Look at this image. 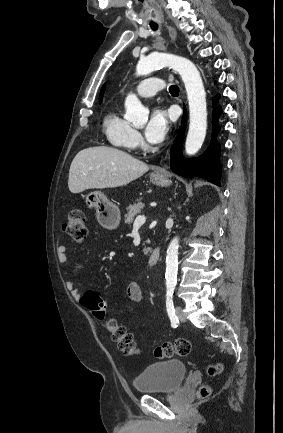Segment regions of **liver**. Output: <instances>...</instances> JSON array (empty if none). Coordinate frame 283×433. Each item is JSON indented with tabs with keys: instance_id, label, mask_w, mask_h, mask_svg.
Returning <instances> with one entry per match:
<instances>
[{
	"instance_id": "6515ba94",
	"label": "liver",
	"mask_w": 283,
	"mask_h": 433,
	"mask_svg": "<svg viewBox=\"0 0 283 433\" xmlns=\"http://www.w3.org/2000/svg\"><path fill=\"white\" fill-rule=\"evenodd\" d=\"M147 170L148 164L128 152L111 146H90L74 156L68 186L71 192H82L86 188L123 186Z\"/></svg>"
}]
</instances>
